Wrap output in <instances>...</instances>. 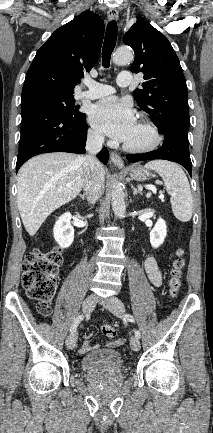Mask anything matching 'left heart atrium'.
<instances>
[{
  "label": "left heart atrium",
  "instance_id": "39dd6f15",
  "mask_svg": "<svg viewBox=\"0 0 213 433\" xmlns=\"http://www.w3.org/2000/svg\"><path fill=\"white\" fill-rule=\"evenodd\" d=\"M90 122L97 130L122 142L127 140L137 123L131 105L117 98L97 103L90 113Z\"/></svg>",
  "mask_w": 213,
  "mask_h": 433
}]
</instances>
